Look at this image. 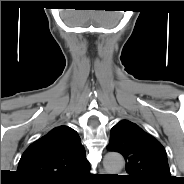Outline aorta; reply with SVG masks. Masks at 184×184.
I'll return each instance as SVG.
<instances>
[{"mask_svg":"<svg viewBox=\"0 0 184 184\" xmlns=\"http://www.w3.org/2000/svg\"><path fill=\"white\" fill-rule=\"evenodd\" d=\"M124 158L119 153L110 152L104 157L103 165L107 174L119 173L124 167Z\"/></svg>","mask_w":184,"mask_h":184,"instance_id":"aorta-1","label":"aorta"}]
</instances>
